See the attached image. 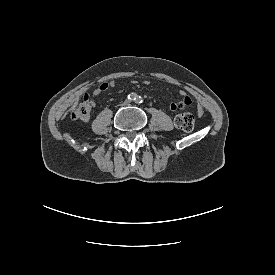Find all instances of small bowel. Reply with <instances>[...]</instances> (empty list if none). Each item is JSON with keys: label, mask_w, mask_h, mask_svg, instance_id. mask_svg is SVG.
<instances>
[{"label": "small bowel", "mask_w": 275, "mask_h": 275, "mask_svg": "<svg viewBox=\"0 0 275 275\" xmlns=\"http://www.w3.org/2000/svg\"><path fill=\"white\" fill-rule=\"evenodd\" d=\"M111 86L110 83L108 82H104V83H101L92 93V96H91V99H90V104L95 107L96 106V98L103 92H105L106 90L110 89ZM182 98L178 101V102H175V103H171L170 104V109L172 110H177V109H180V108H185V107H188L192 104V99L190 96H188L186 94L185 91H181L180 92ZM198 113L201 115L203 113V109L200 107L198 108Z\"/></svg>", "instance_id": "c3829d8e"}]
</instances>
